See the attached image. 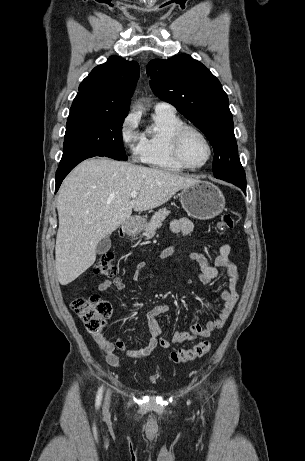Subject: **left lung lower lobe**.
<instances>
[{"label": "left lung lower lobe", "instance_id": "0a47b994", "mask_svg": "<svg viewBox=\"0 0 305 461\" xmlns=\"http://www.w3.org/2000/svg\"><path fill=\"white\" fill-rule=\"evenodd\" d=\"M228 182H230V181H228ZM231 183H233L234 185L240 187L243 190V192L246 194V183H238V182H231Z\"/></svg>", "mask_w": 305, "mask_h": 461}]
</instances>
